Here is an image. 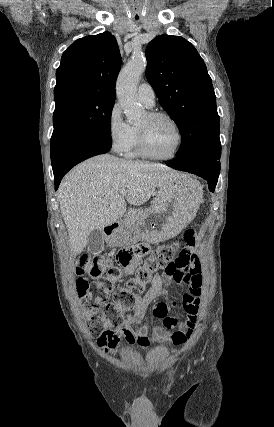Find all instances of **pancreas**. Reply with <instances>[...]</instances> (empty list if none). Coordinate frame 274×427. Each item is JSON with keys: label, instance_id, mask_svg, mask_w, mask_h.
<instances>
[{"label": "pancreas", "instance_id": "obj_1", "mask_svg": "<svg viewBox=\"0 0 274 427\" xmlns=\"http://www.w3.org/2000/svg\"><path fill=\"white\" fill-rule=\"evenodd\" d=\"M140 215H142L141 208H140V210H133V208H130V210H128L127 214L125 215V217L123 219V223H124L125 227H130V225H132V223H135V221H137V219H140Z\"/></svg>", "mask_w": 274, "mask_h": 427}]
</instances>
